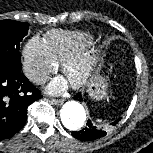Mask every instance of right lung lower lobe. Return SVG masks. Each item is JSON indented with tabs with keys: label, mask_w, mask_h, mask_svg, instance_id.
Here are the masks:
<instances>
[{
	"label": "right lung lower lobe",
	"mask_w": 153,
	"mask_h": 153,
	"mask_svg": "<svg viewBox=\"0 0 153 153\" xmlns=\"http://www.w3.org/2000/svg\"><path fill=\"white\" fill-rule=\"evenodd\" d=\"M41 92L20 68L0 63V140L17 133L26 123L27 108Z\"/></svg>",
	"instance_id": "98d812e1"
}]
</instances>
